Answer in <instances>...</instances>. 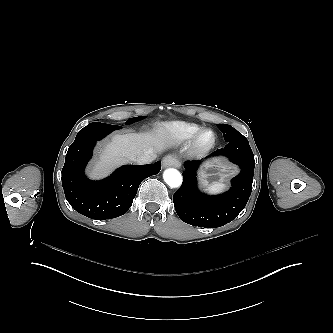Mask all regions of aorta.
<instances>
[{"label":"aorta","instance_id":"aorta-1","mask_svg":"<svg viewBox=\"0 0 333 333\" xmlns=\"http://www.w3.org/2000/svg\"><path fill=\"white\" fill-rule=\"evenodd\" d=\"M163 178L170 188H180L182 186L183 177L176 169H167L163 174Z\"/></svg>","mask_w":333,"mask_h":333}]
</instances>
